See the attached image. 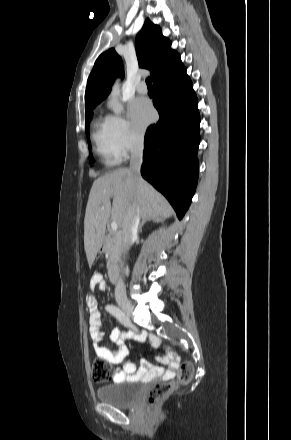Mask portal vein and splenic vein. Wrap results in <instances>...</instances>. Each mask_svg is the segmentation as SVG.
Returning <instances> with one entry per match:
<instances>
[{"label": "portal vein and splenic vein", "instance_id": "1", "mask_svg": "<svg viewBox=\"0 0 291 440\" xmlns=\"http://www.w3.org/2000/svg\"><path fill=\"white\" fill-rule=\"evenodd\" d=\"M101 209L103 210L104 207H101ZM111 229H112L113 232H116V231L118 230V224H117V222L113 221V222L111 223Z\"/></svg>", "mask_w": 291, "mask_h": 440}]
</instances>
